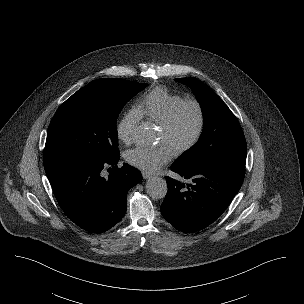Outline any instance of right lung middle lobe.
Returning a JSON list of instances; mask_svg holds the SVG:
<instances>
[{"label":"right lung middle lobe","mask_w":304,"mask_h":304,"mask_svg":"<svg viewBox=\"0 0 304 304\" xmlns=\"http://www.w3.org/2000/svg\"><path fill=\"white\" fill-rule=\"evenodd\" d=\"M147 85L103 78L74 93L51 120L44 149V167L119 157L117 117L123 106Z\"/></svg>","instance_id":"dd1d6c3e"}]
</instances>
